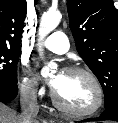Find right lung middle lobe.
I'll list each match as a JSON object with an SVG mask.
<instances>
[{"instance_id":"1","label":"right lung middle lobe","mask_w":118,"mask_h":123,"mask_svg":"<svg viewBox=\"0 0 118 123\" xmlns=\"http://www.w3.org/2000/svg\"><path fill=\"white\" fill-rule=\"evenodd\" d=\"M19 50L0 48V85H17Z\"/></svg>"}]
</instances>
